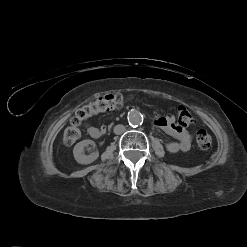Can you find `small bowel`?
Listing matches in <instances>:
<instances>
[{
    "mask_svg": "<svg viewBox=\"0 0 247 247\" xmlns=\"http://www.w3.org/2000/svg\"><path fill=\"white\" fill-rule=\"evenodd\" d=\"M155 125L163 129L166 133L174 136L178 141H171L166 144V149L170 153L186 152L190 149L192 143L191 134L176 123L173 115H166L155 120ZM86 131L92 138H99L107 131V127L102 125L95 127L86 125Z\"/></svg>",
    "mask_w": 247,
    "mask_h": 247,
    "instance_id": "1",
    "label": "small bowel"
}]
</instances>
